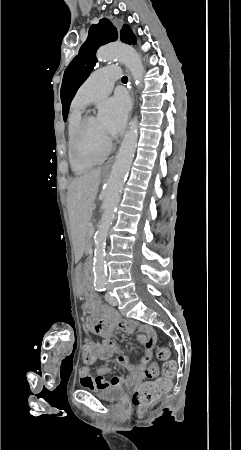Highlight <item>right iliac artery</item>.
Listing matches in <instances>:
<instances>
[{
  "label": "right iliac artery",
  "instance_id": "right-iliac-artery-1",
  "mask_svg": "<svg viewBox=\"0 0 241 450\" xmlns=\"http://www.w3.org/2000/svg\"><path fill=\"white\" fill-rule=\"evenodd\" d=\"M98 291H102V287L97 288Z\"/></svg>",
  "mask_w": 241,
  "mask_h": 450
}]
</instances>
